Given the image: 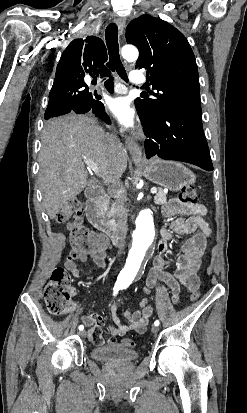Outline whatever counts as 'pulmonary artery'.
<instances>
[{
	"label": "pulmonary artery",
	"instance_id": "e3ab8cb5",
	"mask_svg": "<svg viewBox=\"0 0 247 413\" xmlns=\"http://www.w3.org/2000/svg\"><path fill=\"white\" fill-rule=\"evenodd\" d=\"M141 74L142 71L139 68H134L130 70V75L132 76V80L134 81L135 86H140L141 83L146 80V76H141ZM84 81L88 86H91V77L89 75L85 76Z\"/></svg>",
	"mask_w": 247,
	"mask_h": 413
}]
</instances>
